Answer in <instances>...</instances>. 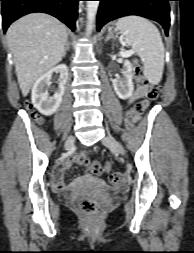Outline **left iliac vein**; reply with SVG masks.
Returning a JSON list of instances; mask_svg holds the SVG:
<instances>
[{"label": "left iliac vein", "instance_id": "1", "mask_svg": "<svg viewBox=\"0 0 194 253\" xmlns=\"http://www.w3.org/2000/svg\"><path fill=\"white\" fill-rule=\"evenodd\" d=\"M102 144L109 149L119 153L120 155H125V150L123 146L112 136H106L102 139Z\"/></svg>", "mask_w": 194, "mask_h": 253}]
</instances>
